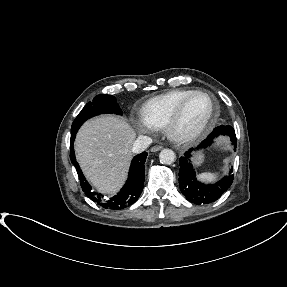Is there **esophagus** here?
Masks as SVG:
<instances>
[{
  "label": "esophagus",
  "mask_w": 287,
  "mask_h": 287,
  "mask_svg": "<svg viewBox=\"0 0 287 287\" xmlns=\"http://www.w3.org/2000/svg\"><path fill=\"white\" fill-rule=\"evenodd\" d=\"M161 149H163L162 145H156L151 148V152H157L160 151Z\"/></svg>",
  "instance_id": "1"
}]
</instances>
